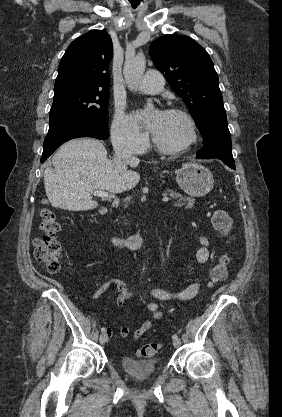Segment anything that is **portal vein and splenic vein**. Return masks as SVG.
Returning <instances> with one entry per match:
<instances>
[{"label": "portal vein and splenic vein", "mask_w": 282, "mask_h": 417, "mask_svg": "<svg viewBox=\"0 0 282 417\" xmlns=\"http://www.w3.org/2000/svg\"><path fill=\"white\" fill-rule=\"evenodd\" d=\"M94 194L96 196H104V198H116L115 194H110V192H106V190H94ZM162 200H165L166 203H173V198H168V196H164Z\"/></svg>", "instance_id": "portal-vein-and-splenic-vein-1"}]
</instances>
